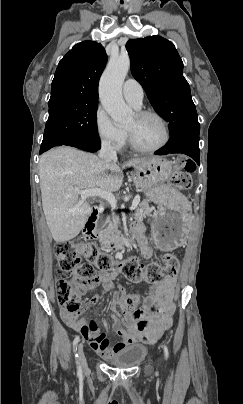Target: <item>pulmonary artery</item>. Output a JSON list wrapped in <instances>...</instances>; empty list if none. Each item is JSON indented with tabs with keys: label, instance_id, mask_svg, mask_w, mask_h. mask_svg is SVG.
<instances>
[{
	"label": "pulmonary artery",
	"instance_id": "e3ab8cb5",
	"mask_svg": "<svg viewBox=\"0 0 243 404\" xmlns=\"http://www.w3.org/2000/svg\"><path fill=\"white\" fill-rule=\"evenodd\" d=\"M122 93L124 98L134 108L140 107L144 97V91L141 84L137 80L133 78L126 79L123 83Z\"/></svg>",
	"mask_w": 243,
	"mask_h": 404
}]
</instances>
